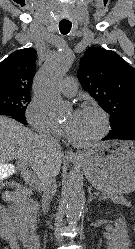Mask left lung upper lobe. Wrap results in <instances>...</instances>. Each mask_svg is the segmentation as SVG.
Listing matches in <instances>:
<instances>
[{
    "label": "left lung upper lobe",
    "mask_w": 135,
    "mask_h": 249,
    "mask_svg": "<svg viewBox=\"0 0 135 249\" xmlns=\"http://www.w3.org/2000/svg\"><path fill=\"white\" fill-rule=\"evenodd\" d=\"M81 85L110 114L112 130L135 116V69L114 51L90 47L80 60Z\"/></svg>",
    "instance_id": "5c2ea615"
}]
</instances>
